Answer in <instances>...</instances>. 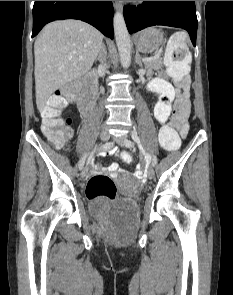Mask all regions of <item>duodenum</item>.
Here are the masks:
<instances>
[{
  "mask_svg": "<svg viewBox=\"0 0 233 295\" xmlns=\"http://www.w3.org/2000/svg\"><path fill=\"white\" fill-rule=\"evenodd\" d=\"M84 90L79 98L78 107L84 114H89L97 100V88H96V72L91 71L85 77Z\"/></svg>",
  "mask_w": 233,
  "mask_h": 295,
  "instance_id": "duodenum-1",
  "label": "duodenum"
}]
</instances>
